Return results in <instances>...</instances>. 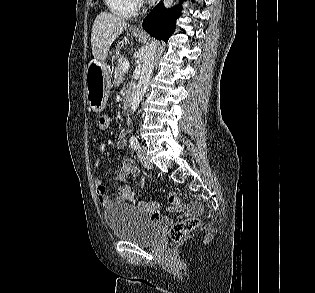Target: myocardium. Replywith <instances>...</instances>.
<instances>
[{"label":"myocardium","instance_id":"f54148a6","mask_svg":"<svg viewBox=\"0 0 315 293\" xmlns=\"http://www.w3.org/2000/svg\"><path fill=\"white\" fill-rule=\"evenodd\" d=\"M135 1V4H136V2H138L139 0H134Z\"/></svg>","mask_w":315,"mask_h":293}]
</instances>
